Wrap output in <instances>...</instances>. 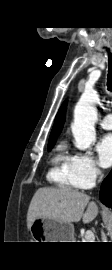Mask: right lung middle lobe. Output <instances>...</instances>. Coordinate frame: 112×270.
<instances>
[{"mask_svg": "<svg viewBox=\"0 0 112 270\" xmlns=\"http://www.w3.org/2000/svg\"><path fill=\"white\" fill-rule=\"evenodd\" d=\"M55 142H49L48 143V150H51L54 146Z\"/></svg>", "mask_w": 112, "mask_h": 270, "instance_id": "right-lung-middle-lobe-1", "label": "right lung middle lobe"}]
</instances>
